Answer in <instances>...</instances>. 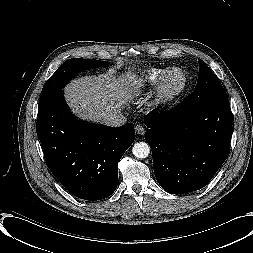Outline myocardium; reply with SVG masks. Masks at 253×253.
Wrapping results in <instances>:
<instances>
[{
	"label": "myocardium",
	"mask_w": 253,
	"mask_h": 253,
	"mask_svg": "<svg viewBox=\"0 0 253 253\" xmlns=\"http://www.w3.org/2000/svg\"><path fill=\"white\" fill-rule=\"evenodd\" d=\"M179 72L182 76L181 85L174 91H166L165 83L169 76L173 73ZM188 84V79L185 71L180 67H173L164 72L158 80L154 91V105L158 108H166L173 104L185 91Z\"/></svg>",
	"instance_id": "1"
}]
</instances>
